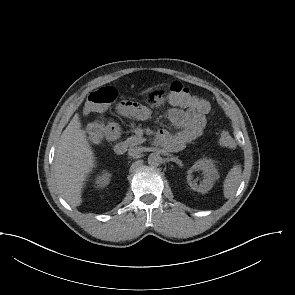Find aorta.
I'll list each match as a JSON object with an SVG mask.
<instances>
[{
  "label": "aorta",
  "instance_id": "aorta-1",
  "mask_svg": "<svg viewBox=\"0 0 295 295\" xmlns=\"http://www.w3.org/2000/svg\"><path fill=\"white\" fill-rule=\"evenodd\" d=\"M162 163V157L158 153H151L148 156V164L151 166H158Z\"/></svg>",
  "mask_w": 295,
  "mask_h": 295
}]
</instances>
